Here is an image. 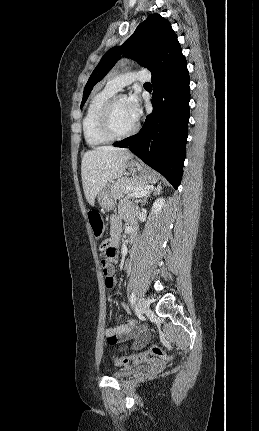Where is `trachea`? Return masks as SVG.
I'll return each mask as SVG.
<instances>
[{
	"instance_id": "3493384b",
	"label": "trachea",
	"mask_w": 259,
	"mask_h": 431,
	"mask_svg": "<svg viewBox=\"0 0 259 431\" xmlns=\"http://www.w3.org/2000/svg\"><path fill=\"white\" fill-rule=\"evenodd\" d=\"M145 85H151L150 83H145Z\"/></svg>"
}]
</instances>
